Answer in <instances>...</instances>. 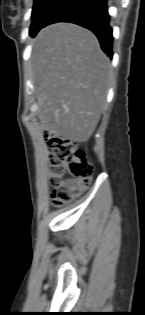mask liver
Here are the masks:
<instances>
[{
  "label": "liver",
  "instance_id": "1",
  "mask_svg": "<svg viewBox=\"0 0 145 315\" xmlns=\"http://www.w3.org/2000/svg\"><path fill=\"white\" fill-rule=\"evenodd\" d=\"M109 58L89 30L70 23L43 28L34 41L32 80L45 130L87 141L106 103Z\"/></svg>",
  "mask_w": 145,
  "mask_h": 315
}]
</instances>
